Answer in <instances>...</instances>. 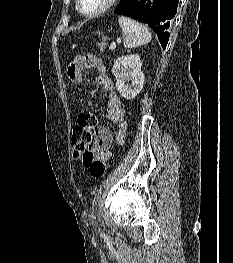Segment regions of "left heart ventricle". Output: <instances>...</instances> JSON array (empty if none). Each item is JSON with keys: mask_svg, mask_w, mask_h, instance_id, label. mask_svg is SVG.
I'll use <instances>...</instances> for the list:
<instances>
[{"mask_svg": "<svg viewBox=\"0 0 233 263\" xmlns=\"http://www.w3.org/2000/svg\"><path fill=\"white\" fill-rule=\"evenodd\" d=\"M107 0H81V8L87 13L95 12L100 9Z\"/></svg>", "mask_w": 233, "mask_h": 263, "instance_id": "b2bd125f", "label": "left heart ventricle"}]
</instances>
